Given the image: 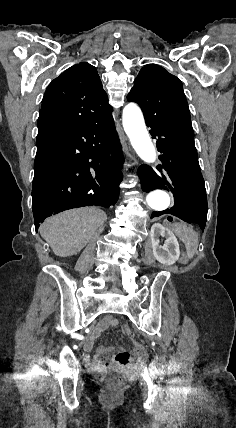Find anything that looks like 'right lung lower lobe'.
<instances>
[{"mask_svg": "<svg viewBox=\"0 0 236 428\" xmlns=\"http://www.w3.org/2000/svg\"><path fill=\"white\" fill-rule=\"evenodd\" d=\"M123 161L112 114L37 139L32 185L36 231L45 218L67 209L115 205Z\"/></svg>", "mask_w": 236, "mask_h": 428, "instance_id": "1", "label": "right lung lower lobe"}]
</instances>
